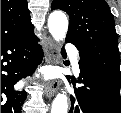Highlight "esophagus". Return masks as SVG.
Instances as JSON below:
<instances>
[{"instance_id": "1", "label": "esophagus", "mask_w": 121, "mask_h": 113, "mask_svg": "<svg viewBox=\"0 0 121 113\" xmlns=\"http://www.w3.org/2000/svg\"><path fill=\"white\" fill-rule=\"evenodd\" d=\"M56 45L53 40L48 37L45 44V61L48 64H54L56 61ZM59 89V82L57 80L51 81L46 85V96L51 98Z\"/></svg>"}]
</instances>
